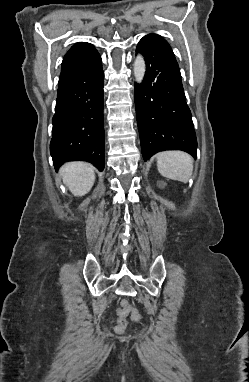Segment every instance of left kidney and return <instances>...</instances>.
Listing matches in <instances>:
<instances>
[{"label": "left kidney", "mask_w": 249, "mask_h": 382, "mask_svg": "<svg viewBox=\"0 0 249 382\" xmlns=\"http://www.w3.org/2000/svg\"><path fill=\"white\" fill-rule=\"evenodd\" d=\"M158 187H160V188H163V187H165L166 186V183L165 182H163V181H158Z\"/></svg>", "instance_id": "left-kidney-1"}]
</instances>
